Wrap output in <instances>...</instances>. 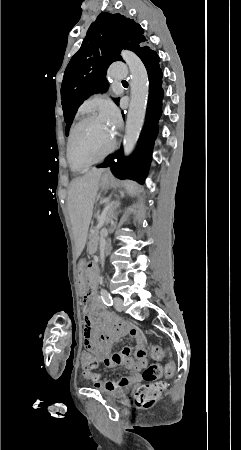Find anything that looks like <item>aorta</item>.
<instances>
[{"mask_svg":"<svg viewBox=\"0 0 241 450\" xmlns=\"http://www.w3.org/2000/svg\"><path fill=\"white\" fill-rule=\"evenodd\" d=\"M122 58L130 70V105L126 119V129L123 138L124 155L133 151L140 136L146 114L149 93L148 74L141 59L131 51H122Z\"/></svg>","mask_w":241,"mask_h":450,"instance_id":"aorta-1","label":"aorta"}]
</instances>
